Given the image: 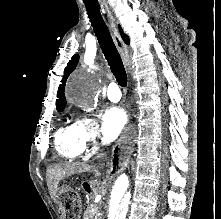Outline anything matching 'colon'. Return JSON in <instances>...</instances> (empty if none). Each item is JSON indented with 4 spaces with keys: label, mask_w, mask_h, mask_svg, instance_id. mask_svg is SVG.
I'll return each mask as SVG.
<instances>
[{
    "label": "colon",
    "mask_w": 221,
    "mask_h": 219,
    "mask_svg": "<svg viewBox=\"0 0 221 219\" xmlns=\"http://www.w3.org/2000/svg\"><path fill=\"white\" fill-rule=\"evenodd\" d=\"M64 207L70 218H73L76 207L79 204V195L76 191L66 190L62 195Z\"/></svg>",
    "instance_id": "colon-1"
}]
</instances>
